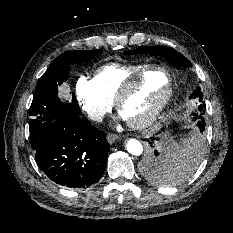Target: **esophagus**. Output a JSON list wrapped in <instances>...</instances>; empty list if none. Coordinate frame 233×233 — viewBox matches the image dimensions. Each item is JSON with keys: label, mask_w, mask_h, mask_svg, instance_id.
<instances>
[{"label": "esophagus", "mask_w": 233, "mask_h": 233, "mask_svg": "<svg viewBox=\"0 0 233 233\" xmlns=\"http://www.w3.org/2000/svg\"><path fill=\"white\" fill-rule=\"evenodd\" d=\"M117 139H118V136L116 134H113V133H108L107 134V141L110 144H113Z\"/></svg>", "instance_id": "1"}]
</instances>
